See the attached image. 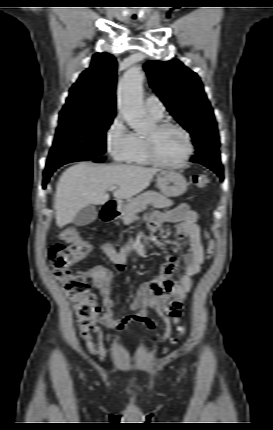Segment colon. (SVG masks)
Masks as SVG:
<instances>
[{
    "label": "colon",
    "mask_w": 273,
    "mask_h": 430,
    "mask_svg": "<svg viewBox=\"0 0 273 430\" xmlns=\"http://www.w3.org/2000/svg\"><path fill=\"white\" fill-rule=\"evenodd\" d=\"M196 187L205 189L210 184L206 174L193 176ZM214 243L209 240L207 257L214 253ZM91 252V245L83 240L76 229L65 228L61 232V241L50 248L48 253L52 273L65 288L78 318V328L83 337L88 336L95 327L101 307L92 294L90 284L81 274H75L70 267Z\"/></svg>",
    "instance_id": "obj_1"
}]
</instances>
